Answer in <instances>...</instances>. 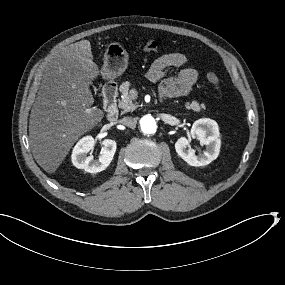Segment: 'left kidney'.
<instances>
[{"label": "left kidney", "instance_id": "left-kidney-1", "mask_svg": "<svg viewBox=\"0 0 285 285\" xmlns=\"http://www.w3.org/2000/svg\"><path fill=\"white\" fill-rule=\"evenodd\" d=\"M190 135L200 141L201 145L207 147L202 155L196 156L190 149H187L191 139L182 136L176 141L177 154L190 166H205L218 157L221 143L218 125L214 120L203 118L195 121L190 129Z\"/></svg>", "mask_w": 285, "mask_h": 285}]
</instances>
